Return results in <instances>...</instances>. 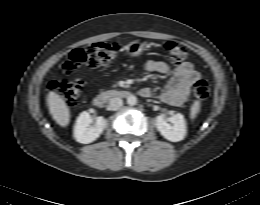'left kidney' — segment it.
Here are the masks:
<instances>
[{
  "label": "left kidney",
  "mask_w": 260,
  "mask_h": 205,
  "mask_svg": "<svg viewBox=\"0 0 260 205\" xmlns=\"http://www.w3.org/2000/svg\"><path fill=\"white\" fill-rule=\"evenodd\" d=\"M155 125L160 134L171 142L181 141L186 136V122L180 113L174 114L168 119L164 114H161L155 118Z\"/></svg>",
  "instance_id": "left-kidney-1"
}]
</instances>
